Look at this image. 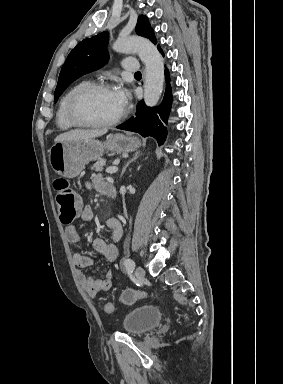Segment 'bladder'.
I'll return each instance as SVG.
<instances>
[{"instance_id": "obj_1", "label": "bladder", "mask_w": 283, "mask_h": 384, "mask_svg": "<svg viewBox=\"0 0 283 384\" xmlns=\"http://www.w3.org/2000/svg\"><path fill=\"white\" fill-rule=\"evenodd\" d=\"M162 320L163 315L158 307L151 303H144L126 311L121 325L126 334L141 336L157 327Z\"/></svg>"}]
</instances>
